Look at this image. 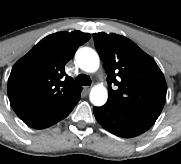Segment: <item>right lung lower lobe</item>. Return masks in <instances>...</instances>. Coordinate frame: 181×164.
<instances>
[{"mask_svg": "<svg viewBox=\"0 0 181 164\" xmlns=\"http://www.w3.org/2000/svg\"><path fill=\"white\" fill-rule=\"evenodd\" d=\"M74 107H72L69 111H67L65 114H63L62 116H60L59 118H57L56 120H52V121H44V120H26L24 121L28 126L35 128V129H43V128H47L55 123H57L58 121L64 119L73 109Z\"/></svg>", "mask_w": 181, "mask_h": 164, "instance_id": "obj_1", "label": "right lung lower lobe"}]
</instances>
